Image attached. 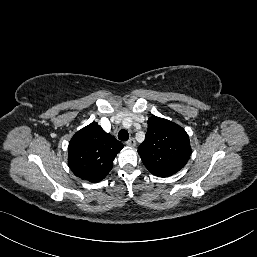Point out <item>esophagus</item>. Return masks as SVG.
<instances>
[{
  "instance_id": "34e87169",
  "label": "esophagus",
  "mask_w": 257,
  "mask_h": 257,
  "mask_svg": "<svg viewBox=\"0 0 257 257\" xmlns=\"http://www.w3.org/2000/svg\"><path fill=\"white\" fill-rule=\"evenodd\" d=\"M127 146L130 147H135L136 146V141L133 138H130L127 142H126Z\"/></svg>"
}]
</instances>
